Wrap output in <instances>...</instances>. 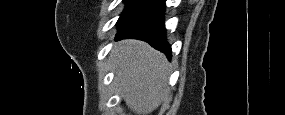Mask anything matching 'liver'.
I'll return each mask as SVG.
<instances>
[{
    "label": "liver",
    "mask_w": 285,
    "mask_h": 115,
    "mask_svg": "<svg viewBox=\"0 0 285 115\" xmlns=\"http://www.w3.org/2000/svg\"><path fill=\"white\" fill-rule=\"evenodd\" d=\"M110 58L126 105L142 115L155 110L167 93L170 75L164 54L145 42L123 40L115 44Z\"/></svg>",
    "instance_id": "1"
}]
</instances>
